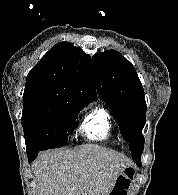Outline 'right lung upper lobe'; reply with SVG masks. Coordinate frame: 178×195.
Listing matches in <instances>:
<instances>
[{"label":"right lung upper lobe","mask_w":178,"mask_h":195,"mask_svg":"<svg viewBox=\"0 0 178 195\" xmlns=\"http://www.w3.org/2000/svg\"><path fill=\"white\" fill-rule=\"evenodd\" d=\"M97 97L89 55L69 42L53 46L29 72L23 99L92 102Z\"/></svg>","instance_id":"right-lung-upper-lobe-1"}]
</instances>
